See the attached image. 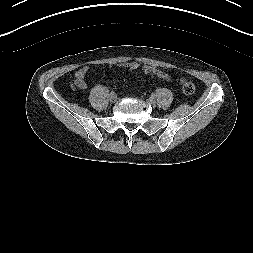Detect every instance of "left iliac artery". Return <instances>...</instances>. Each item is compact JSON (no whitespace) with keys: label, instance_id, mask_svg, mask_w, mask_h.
<instances>
[{"label":"left iliac artery","instance_id":"obj_1","mask_svg":"<svg viewBox=\"0 0 253 253\" xmlns=\"http://www.w3.org/2000/svg\"><path fill=\"white\" fill-rule=\"evenodd\" d=\"M150 98H151L152 100H155V99L157 98V95H156L155 93H152V94L150 95Z\"/></svg>","mask_w":253,"mask_h":253}]
</instances>
